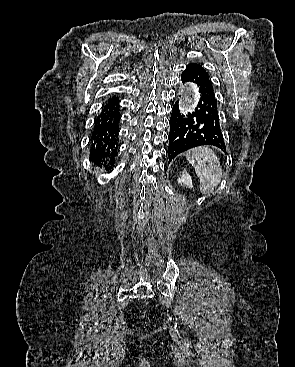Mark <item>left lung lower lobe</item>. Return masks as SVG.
<instances>
[{"label":"left lung lower lobe","instance_id":"0a47b994","mask_svg":"<svg viewBox=\"0 0 295 367\" xmlns=\"http://www.w3.org/2000/svg\"><path fill=\"white\" fill-rule=\"evenodd\" d=\"M181 80L183 83L197 84L200 100L186 117L180 113L178 102L173 106L169 121V162L178 154L201 145H213L225 151L218 103L208 73L200 64L190 63L183 71Z\"/></svg>","mask_w":295,"mask_h":367}]
</instances>
